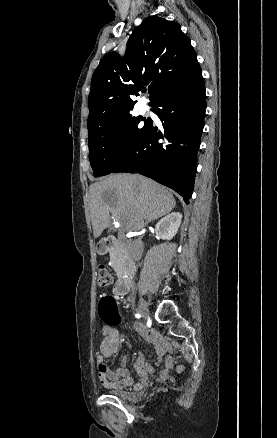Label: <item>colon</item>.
Listing matches in <instances>:
<instances>
[{
	"mask_svg": "<svg viewBox=\"0 0 277 438\" xmlns=\"http://www.w3.org/2000/svg\"><path fill=\"white\" fill-rule=\"evenodd\" d=\"M113 275L105 265H100L96 273V283L100 288L108 287L113 283ZM115 301V300H114ZM116 325V324H114Z\"/></svg>",
	"mask_w": 277,
	"mask_h": 438,
	"instance_id": "5ec220e1",
	"label": "colon"
}]
</instances>
